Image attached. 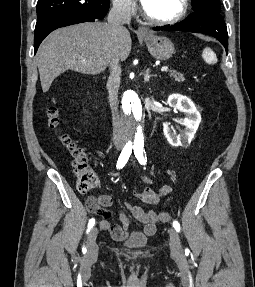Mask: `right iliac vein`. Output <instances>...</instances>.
I'll list each match as a JSON object with an SVG mask.
<instances>
[{"label": "right iliac vein", "instance_id": "right-iliac-vein-1", "mask_svg": "<svg viewBox=\"0 0 255 287\" xmlns=\"http://www.w3.org/2000/svg\"><path fill=\"white\" fill-rule=\"evenodd\" d=\"M97 235L98 229L96 227H94L88 235L86 259L90 262L96 260L98 255V246L96 244Z\"/></svg>", "mask_w": 255, "mask_h": 287}]
</instances>
